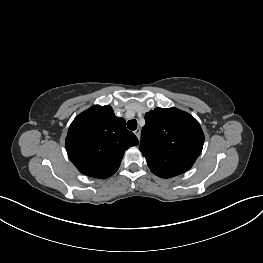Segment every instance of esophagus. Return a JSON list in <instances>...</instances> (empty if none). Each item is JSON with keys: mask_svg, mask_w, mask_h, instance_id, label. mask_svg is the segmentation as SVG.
Segmentation results:
<instances>
[{"mask_svg": "<svg viewBox=\"0 0 263 263\" xmlns=\"http://www.w3.org/2000/svg\"><path fill=\"white\" fill-rule=\"evenodd\" d=\"M134 134L136 135V137L138 139H140V134H141V130L139 128H137L135 131H134Z\"/></svg>", "mask_w": 263, "mask_h": 263, "instance_id": "1", "label": "esophagus"}]
</instances>
